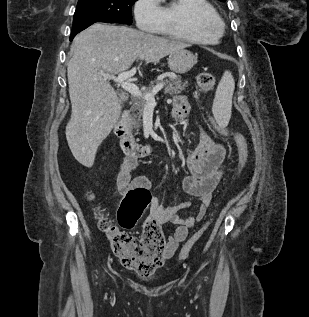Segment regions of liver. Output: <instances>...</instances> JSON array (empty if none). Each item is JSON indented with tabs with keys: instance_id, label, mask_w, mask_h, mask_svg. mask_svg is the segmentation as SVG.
<instances>
[{
	"instance_id": "liver-1",
	"label": "liver",
	"mask_w": 309,
	"mask_h": 317,
	"mask_svg": "<svg viewBox=\"0 0 309 317\" xmlns=\"http://www.w3.org/2000/svg\"><path fill=\"white\" fill-rule=\"evenodd\" d=\"M189 45L125 26L95 23L78 34L67 77L72 105L66 126L68 146L86 167L121 115V101L105 74H120L136 59L155 63Z\"/></svg>"
}]
</instances>
